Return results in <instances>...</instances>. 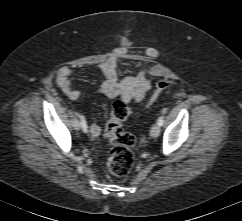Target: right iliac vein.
<instances>
[{"label":"right iliac vein","mask_w":242,"mask_h":221,"mask_svg":"<svg viewBox=\"0 0 242 221\" xmlns=\"http://www.w3.org/2000/svg\"><path fill=\"white\" fill-rule=\"evenodd\" d=\"M73 126H74V128H75L76 130L80 129V127H81V123H80V121L76 119V120L74 121Z\"/></svg>","instance_id":"right-iliac-vein-1"}]
</instances>
